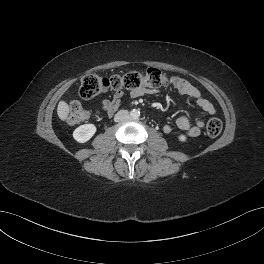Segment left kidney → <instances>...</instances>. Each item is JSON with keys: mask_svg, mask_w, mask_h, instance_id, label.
<instances>
[{"mask_svg": "<svg viewBox=\"0 0 264 264\" xmlns=\"http://www.w3.org/2000/svg\"><path fill=\"white\" fill-rule=\"evenodd\" d=\"M178 139H179L181 142H184V141H186V136H184V135H180V136L178 137Z\"/></svg>", "mask_w": 264, "mask_h": 264, "instance_id": "obj_1", "label": "left kidney"}]
</instances>
